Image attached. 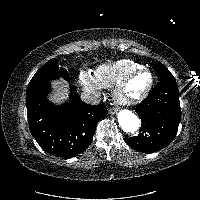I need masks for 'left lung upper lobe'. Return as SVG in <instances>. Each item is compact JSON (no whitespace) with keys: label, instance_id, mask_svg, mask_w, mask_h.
<instances>
[{"label":"left lung upper lobe","instance_id":"left-lung-upper-lobe-1","mask_svg":"<svg viewBox=\"0 0 200 200\" xmlns=\"http://www.w3.org/2000/svg\"><path fill=\"white\" fill-rule=\"evenodd\" d=\"M154 69L160 81H176L171 72L162 63L155 62Z\"/></svg>","mask_w":200,"mask_h":200}]
</instances>
